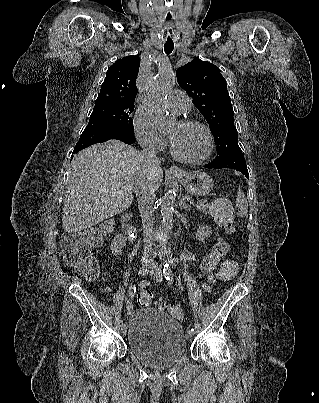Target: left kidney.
I'll return each mask as SVG.
<instances>
[{
	"instance_id": "1",
	"label": "left kidney",
	"mask_w": 319,
	"mask_h": 403,
	"mask_svg": "<svg viewBox=\"0 0 319 403\" xmlns=\"http://www.w3.org/2000/svg\"><path fill=\"white\" fill-rule=\"evenodd\" d=\"M211 234H212V231H211L210 227L205 226V225H201V226H199V228L197 229V232H196V239H197L198 241H201V242L204 243V242H205L204 240H205L206 238L210 237Z\"/></svg>"
}]
</instances>
